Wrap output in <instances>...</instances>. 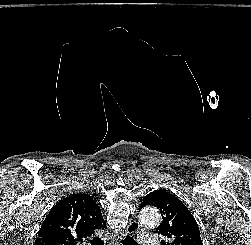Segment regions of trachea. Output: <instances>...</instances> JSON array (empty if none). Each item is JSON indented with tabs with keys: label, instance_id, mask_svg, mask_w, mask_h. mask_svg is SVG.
<instances>
[{
	"label": "trachea",
	"instance_id": "3493384b",
	"mask_svg": "<svg viewBox=\"0 0 251 245\" xmlns=\"http://www.w3.org/2000/svg\"><path fill=\"white\" fill-rule=\"evenodd\" d=\"M121 243L123 245H138L133 238H131L129 235H127L122 241ZM91 244L92 245H104V241L101 240L100 238H93L91 240Z\"/></svg>",
	"mask_w": 251,
	"mask_h": 245
}]
</instances>
